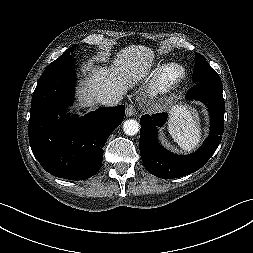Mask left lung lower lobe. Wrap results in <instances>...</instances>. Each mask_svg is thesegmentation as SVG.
Instances as JSON below:
<instances>
[{
    "instance_id": "left-lung-lower-lobe-1",
    "label": "left lung lower lobe",
    "mask_w": 253,
    "mask_h": 253,
    "mask_svg": "<svg viewBox=\"0 0 253 253\" xmlns=\"http://www.w3.org/2000/svg\"><path fill=\"white\" fill-rule=\"evenodd\" d=\"M189 100L204 102L210 113V134L196 152L179 156L164 149L157 142L158 127L164 125L167 114L159 113L141 117L140 154L145 168L153 175L172 179L191 174L200 169L210 159L219 146L224 131L225 102L222 85L212 82H197L186 95Z\"/></svg>"
}]
</instances>
